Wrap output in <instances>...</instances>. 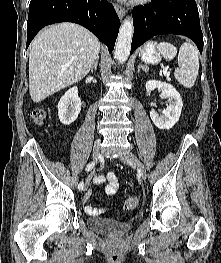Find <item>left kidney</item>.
Instances as JSON below:
<instances>
[{
    "label": "left kidney",
    "mask_w": 221,
    "mask_h": 263,
    "mask_svg": "<svg viewBox=\"0 0 221 263\" xmlns=\"http://www.w3.org/2000/svg\"><path fill=\"white\" fill-rule=\"evenodd\" d=\"M145 86L147 91L157 88L161 91V96L168 99L169 106L162 112V115H159L152 109L150 117L155 126L159 129H171L178 122L181 115L183 102L180 94L171 84L166 82L149 80ZM153 105L154 103H151V106Z\"/></svg>",
    "instance_id": "left-kidney-1"
}]
</instances>
